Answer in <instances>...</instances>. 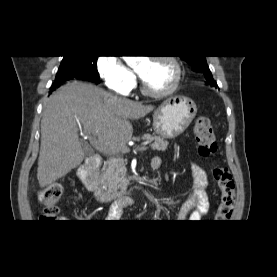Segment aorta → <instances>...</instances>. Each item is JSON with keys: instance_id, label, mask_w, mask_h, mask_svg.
I'll list each match as a JSON object with an SVG mask.
<instances>
[{"instance_id": "762f6f07", "label": "aorta", "mask_w": 277, "mask_h": 277, "mask_svg": "<svg viewBox=\"0 0 277 277\" xmlns=\"http://www.w3.org/2000/svg\"><path fill=\"white\" fill-rule=\"evenodd\" d=\"M125 60L129 65H135L139 60V56H125Z\"/></svg>"}]
</instances>
